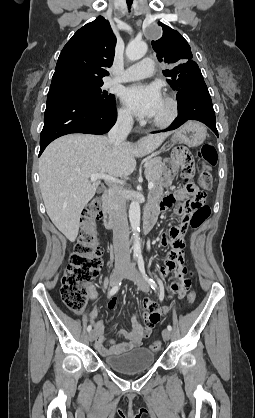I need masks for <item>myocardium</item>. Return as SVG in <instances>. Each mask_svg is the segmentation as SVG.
I'll list each match as a JSON object with an SVG mask.
<instances>
[{
	"label": "myocardium",
	"mask_w": 255,
	"mask_h": 418,
	"mask_svg": "<svg viewBox=\"0 0 255 418\" xmlns=\"http://www.w3.org/2000/svg\"><path fill=\"white\" fill-rule=\"evenodd\" d=\"M168 106V112L164 117L154 118L151 123L157 128L169 127L177 118L179 112L178 100L172 95H166L164 97Z\"/></svg>",
	"instance_id": "obj_1"
}]
</instances>
